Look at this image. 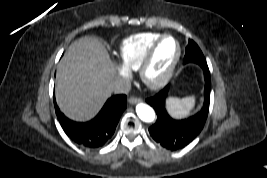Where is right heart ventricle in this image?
Instances as JSON below:
<instances>
[{
    "label": "right heart ventricle",
    "mask_w": 267,
    "mask_h": 178,
    "mask_svg": "<svg viewBox=\"0 0 267 178\" xmlns=\"http://www.w3.org/2000/svg\"><path fill=\"white\" fill-rule=\"evenodd\" d=\"M161 36L160 33L145 32L124 39L118 49L121 63L128 69L137 70L148 49Z\"/></svg>",
    "instance_id": "right-heart-ventricle-1"
}]
</instances>
